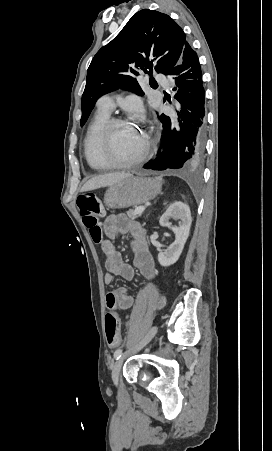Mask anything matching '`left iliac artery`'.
<instances>
[{"label":"left iliac artery","mask_w":272,"mask_h":451,"mask_svg":"<svg viewBox=\"0 0 272 451\" xmlns=\"http://www.w3.org/2000/svg\"><path fill=\"white\" fill-rule=\"evenodd\" d=\"M122 354H123V353H122V350H121V349H118V350H116L115 353H114V358H115L116 360H118V359L121 358Z\"/></svg>","instance_id":"left-iliac-artery-1"}]
</instances>
